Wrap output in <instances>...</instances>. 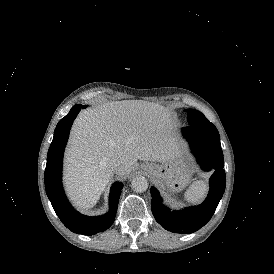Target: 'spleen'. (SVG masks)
Masks as SVG:
<instances>
[{
    "label": "spleen",
    "instance_id": "obj_1",
    "mask_svg": "<svg viewBox=\"0 0 274 274\" xmlns=\"http://www.w3.org/2000/svg\"><path fill=\"white\" fill-rule=\"evenodd\" d=\"M206 192V185L203 181H196L190 186L185 196L190 201H199Z\"/></svg>",
    "mask_w": 274,
    "mask_h": 274
}]
</instances>
